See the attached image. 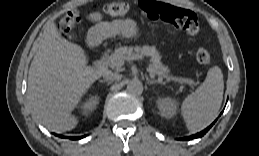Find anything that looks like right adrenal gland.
Here are the masks:
<instances>
[{"label":"right adrenal gland","instance_id":"1","mask_svg":"<svg viewBox=\"0 0 259 156\" xmlns=\"http://www.w3.org/2000/svg\"><path fill=\"white\" fill-rule=\"evenodd\" d=\"M99 82H100V83H108V84H111V83H112V81H108V80H106V79H105V80H100Z\"/></svg>","mask_w":259,"mask_h":156}]
</instances>
